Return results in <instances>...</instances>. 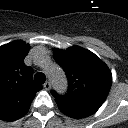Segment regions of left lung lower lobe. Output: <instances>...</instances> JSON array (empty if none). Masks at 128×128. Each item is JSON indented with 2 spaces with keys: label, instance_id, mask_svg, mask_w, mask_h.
<instances>
[{
  "label": "left lung lower lobe",
  "instance_id": "0a47b994",
  "mask_svg": "<svg viewBox=\"0 0 128 128\" xmlns=\"http://www.w3.org/2000/svg\"><path fill=\"white\" fill-rule=\"evenodd\" d=\"M55 101L62 113L75 119L90 116L97 111V109L94 108L77 106L60 100H55Z\"/></svg>",
  "mask_w": 128,
  "mask_h": 128
}]
</instances>
